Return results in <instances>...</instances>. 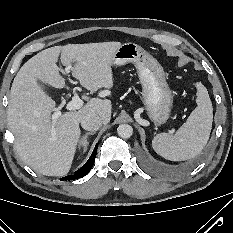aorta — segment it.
<instances>
[{"label": "aorta", "mask_w": 233, "mask_h": 233, "mask_svg": "<svg viewBox=\"0 0 233 233\" xmlns=\"http://www.w3.org/2000/svg\"><path fill=\"white\" fill-rule=\"evenodd\" d=\"M117 133L121 138H130L133 134V128L128 124H121L117 128Z\"/></svg>", "instance_id": "1"}]
</instances>
